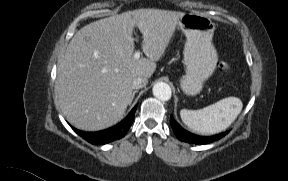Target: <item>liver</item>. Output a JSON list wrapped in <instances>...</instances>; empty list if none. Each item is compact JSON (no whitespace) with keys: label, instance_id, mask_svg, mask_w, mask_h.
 Wrapping results in <instances>:
<instances>
[{"label":"liver","instance_id":"liver-1","mask_svg":"<svg viewBox=\"0 0 288 181\" xmlns=\"http://www.w3.org/2000/svg\"><path fill=\"white\" fill-rule=\"evenodd\" d=\"M182 12L137 9L92 22L75 33L59 60L55 92L69 123L85 131L106 129L124 115L132 82L147 80L174 35ZM142 33L147 58L133 59V29Z\"/></svg>","mask_w":288,"mask_h":181}]
</instances>
